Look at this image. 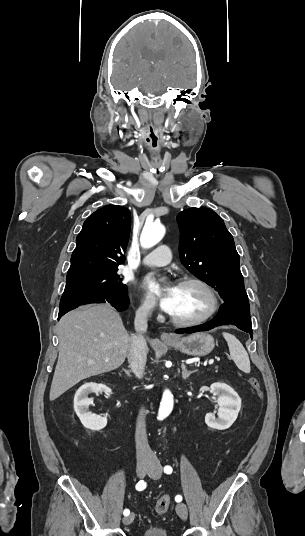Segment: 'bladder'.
<instances>
[{"mask_svg":"<svg viewBox=\"0 0 305 536\" xmlns=\"http://www.w3.org/2000/svg\"><path fill=\"white\" fill-rule=\"evenodd\" d=\"M136 536H168V533L165 527H155L147 529L145 533Z\"/></svg>","mask_w":305,"mask_h":536,"instance_id":"31cf9c89","label":"bladder"}]
</instances>
